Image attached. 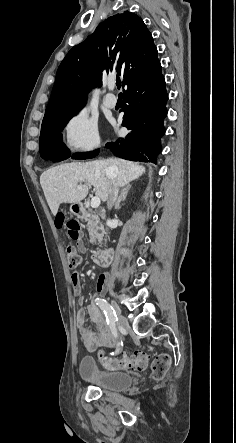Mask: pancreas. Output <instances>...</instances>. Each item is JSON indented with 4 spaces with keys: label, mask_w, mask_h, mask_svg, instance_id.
I'll use <instances>...</instances> for the list:
<instances>
[{
    "label": "pancreas",
    "mask_w": 236,
    "mask_h": 443,
    "mask_svg": "<svg viewBox=\"0 0 236 443\" xmlns=\"http://www.w3.org/2000/svg\"><path fill=\"white\" fill-rule=\"evenodd\" d=\"M87 230L90 236V243L92 245H99L103 240L105 233L104 226L100 223L99 217L95 214H86Z\"/></svg>",
    "instance_id": "1"
}]
</instances>
